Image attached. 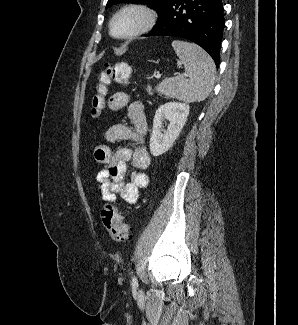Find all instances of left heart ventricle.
Segmentation results:
<instances>
[{
  "label": "left heart ventricle",
  "instance_id": "b2bd125f",
  "mask_svg": "<svg viewBox=\"0 0 298 325\" xmlns=\"http://www.w3.org/2000/svg\"><path fill=\"white\" fill-rule=\"evenodd\" d=\"M137 24L138 21L135 17H123L116 23L115 33L120 36L128 35L136 29Z\"/></svg>",
  "mask_w": 298,
  "mask_h": 325
}]
</instances>
